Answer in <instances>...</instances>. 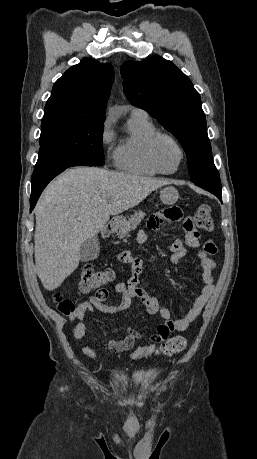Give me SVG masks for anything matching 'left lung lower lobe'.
<instances>
[{"instance_id":"1","label":"left lung lower lobe","mask_w":257,"mask_h":459,"mask_svg":"<svg viewBox=\"0 0 257 459\" xmlns=\"http://www.w3.org/2000/svg\"><path fill=\"white\" fill-rule=\"evenodd\" d=\"M217 197H218V198H219V199L222 201V199H221V195H218Z\"/></svg>"}]
</instances>
